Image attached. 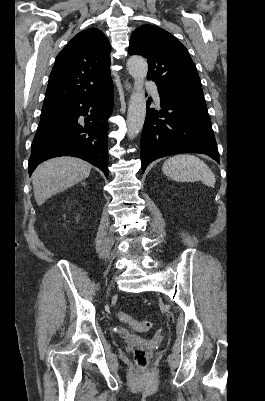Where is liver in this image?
Here are the masks:
<instances>
[{
    "instance_id": "6515ba94",
    "label": "liver",
    "mask_w": 265,
    "mask_h": 401,
    "mask_svg": "<svg viewBox=\"0 0 265 401\" xmlns=\"http://www.w3.org/2000/svg\"><path fill=\"white\" fill-rule=\"evenodd\" d=\"M91 164L73 158V156H59L45 160L37 166L32 174L33 192L35 201L39 207L47 201V198L70 188L83 178H88Z\"/></svg>"
}]
</instances>
